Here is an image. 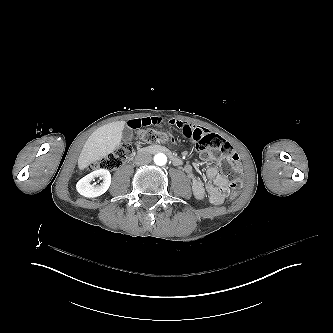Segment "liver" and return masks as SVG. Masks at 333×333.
Listing matches in <instances>:
<instances>
[{"label":"liver","instance_id":"obj_1","mask_svg":"<svg viewBox=\"0 0 333 333\" xmlns=\"http://www.w3.org/2000/svg\"><path fill=\"white\" fill-rule=\"evenodd\" d=\"M125 124L126 121H115L97 128L86 140L80 152L78 169L83 171L112 154L122 141Z\"/></svg>","mask_w":333,"mask_h":333}]
</instances>
